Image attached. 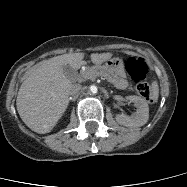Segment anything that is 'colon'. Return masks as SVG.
I'll use <instances>...</instances> for the list:
<instances>
[{
  "label": "colon",
  "mask_w": 187,
  "mask_h": 187,
  "mask_svg": "<svg viewBox=\"0 0 187 187\" xmlns=\"http://www.w3.org/2000/svg\"><path fill=\"white\" fill-rule=\"evenodd\" d=\"M125 67L135 84L137 93L148 102H154L155 94L150 84L146 81L148 67L145 61L140 57H129L126 60Z\"/></svg>",
  "instance_id": "5ec220e1"
}]
</instances>
